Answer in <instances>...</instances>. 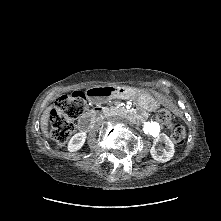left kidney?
<instances>
[{
    "instance_id": "5707ae66",
    "label": "left kidney",
    "mask_w": 221,
    "mask_h": 221,
    "mask_svg": "<svg viewBox=\"0 0 221 221\" xmlns=\"http://www.w3.org/2000/svg\"><path fill=\"white\" fill-rule=\"evenodd\" d=\"M160 141H162L165 144V148L159 152L155 146H152L150 149L151 156L154 160L164 163L169 161L175 153L174 144L170 140V138L167 135H163L160 138Z\"/></svg>"
}]
</instances>
